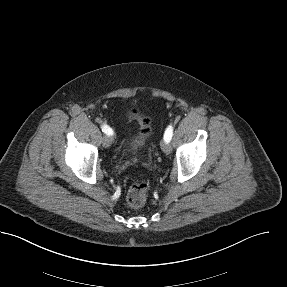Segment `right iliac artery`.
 Returning a JSON list of instances; mask_svg holds the SVG:
<instances>
[{"label": "right iliac artery", "instance_id": "right-iliac-artery-1", "mask_svg": "<svg viewBox=\"0 0 287 287\" xmlns=\"http://www.w3.org/2000/svg\"><path fill=\"white\" fill-rule=\"evenodd\" d=\"M102 131L107 135H112L113 131L108 125H102Z\"/></svg>", "mask_w": 287, "mask_h": 287}]
</instances>
